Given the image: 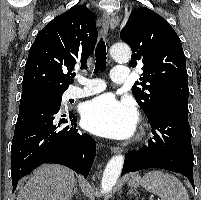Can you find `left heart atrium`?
I'll return each mask as SVG.
<instances>
[{
	"label": "left heart atrium",
	"mask_w": 201,
	"mask_h": 200,
	"mask_svg": "<svg viewBox=\"0 0 201 200\" xmlns=\"http://www.w3.org/2000/svg\"><path fill=\"white\" fill-rule=\"evenodd\" d=\"M82 123L87 130L98 135L125 139L135 132L137 113L130 102H120L112 95L106 94L84 105Z\"/></svg>",
	"instance_id": "39dd6f15"
}]
</instances>
